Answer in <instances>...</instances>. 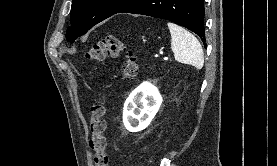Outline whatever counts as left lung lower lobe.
Listing matches in <instances>:
<instances>
[{
  "label": "left lung lower lobe",
  "mask_w": 277,
  "mask_h": 166,
  "mask_svg": "<svg viewBox=\"0 0 277 166\" xmlns=\"http://www.w3.org/2000/svg\"><path fill=\"white\" fill-rule=\"evenodd\" d=\"M118 13L142 14L172 21L196 33L206 46L203 0H134Z\"/></svg>",
  "instance_id": "0a47b994"
}]
</instances>
